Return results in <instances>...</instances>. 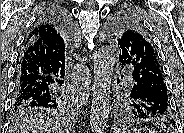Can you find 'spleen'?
<instances>
[{
    "label": "spleen",
    "instance_id": "obj_1",
    "mask_svg": "<svg viewBox=\"0 0 184 133\" xmlns=\"http://www.w3.org/2000/svg\"><path fill=\"white\" fill-rule=\"evenodd\" d=\"M144 131H145L144 129H135V130H133V133H141Z\"/></svg>",
    "mask_w": 184,
    "mask_h": 133
}]
</instances>
